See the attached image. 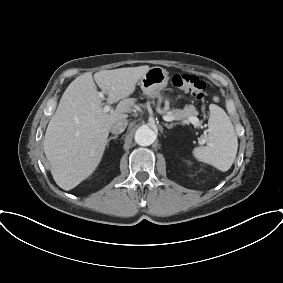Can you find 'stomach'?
Instances as JSON below:
<instances>
[{
	"label": "stomach",
	"mask_w": 283,
	"mask_h": 283,
	"mask_svg": "<svg viewBox=\"0 0 283 283\" xmlns=\"http://www.w3.org/2000/svg\"><path fill=\"white\" fill-rule=\"evenodd\" d=\"M168 81V72L162 67L156 66L146 72L140 79L139 85L145 95L155 98L161 95V91L167 86Z\"/></svg>",
	"instance_id": "stomach-1"
}]
</instances>
